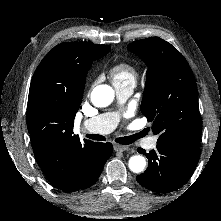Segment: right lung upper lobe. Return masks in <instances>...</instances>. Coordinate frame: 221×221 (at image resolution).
Here are the masks:
<instances>
[{
    "label": "right lung upper lobe",
    "instance_id": "obj_1",
    "mask_svg": "<svg viewBox=\"0 0 221 221\" xmlns=\"http://www.w3.org/2000/svg\"><path fill=\"white\" fill-rule=\"evenodd\" d=\"M98 47L109 46L61 43L43 58L31 80L27 128L40 168L58 189L76 179L79 158L94 144L81 143L73 126L91 67L83 62Z\"/></svg>",
    "mask_w": 221,
    "mask_h": 221
}]
</instances>
